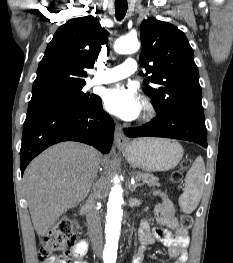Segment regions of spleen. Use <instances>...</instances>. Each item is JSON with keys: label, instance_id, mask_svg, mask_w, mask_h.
Returning a JSON list of instances; mask_svg holds the SVG:
<instances>
[{"label": "spleen", "instance_id": "1", "mask_svg": "<svg viewBox=\"0 0 233 263\" xmlns=\"http://www.w3.org/2000/svg\"><path fill=\"white\" fill-rule=\"evenodd\" d=\"M205 164L198 156L186 174L185 190L179 197V204L184 213H192L201 199L204 186Z\"/></svg>", "mask_w": 233, "mask_h": 263}]
</instances>
